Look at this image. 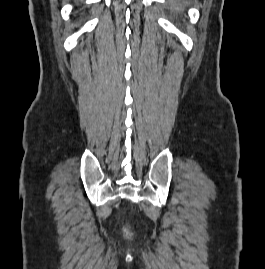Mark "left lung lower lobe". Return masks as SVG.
I'll list each match as a JSON object with an SVG mask.
<instances>
[{"mask_svg": "<svg viewBox=\"0 0 265 269\" xmlns=\"http://www.w3.org/2000/svg\"><path fill=\"white\" fill-rule=\"evenodd\" d=\"M170 9L175 13H180L183 11L186 0H169Z\"/></svg>", "mask_w": 265, "mask_h": 269, "instance_id": "left-lung-lower-lobe-1", "label": "left lung lower lobe"}]
</instances>
